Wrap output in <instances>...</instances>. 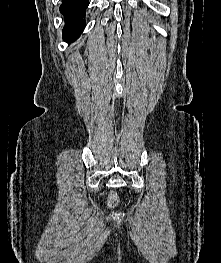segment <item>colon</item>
Returning <instances> with one entry per match:
<instances>
[{
	"label": "colon",
	"instance_id": "obj_1",
	"mask_svg": "<svg viewBox=\"0 0 221 263\" xmlns=\"http://www.w3.org/2000/svg\"><path fill=\"white\" fill-rule=\"evenodd\" d=\"M118 202H119V200H118V196L116 195V193L111 192L109 194V197H108V204H109V206L110 207H115V206L118 205Z\"/></svg>",
	"mask_w": 221,
	"mask_h": 263
}]
</instances>
